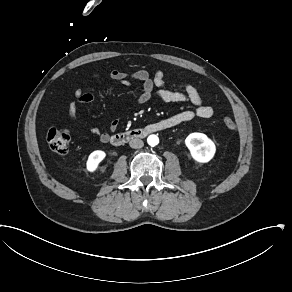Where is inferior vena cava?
<instances>
[{"label": "inferior vena cava", "instance_id": "obj_1", "mask_svg": "<svg viewBox=\"0 0 292 292\" xmlns=\"http://www.w3.org/2000/svg\"><path fill=\"white\" fill-rule=\"evenodd\" d=\"M144 145L143 141L140 139H133L129 142V146L134 149H140Z\"/></svg>", "mask_w": 292, "mask_h": 292}]
</instances>
